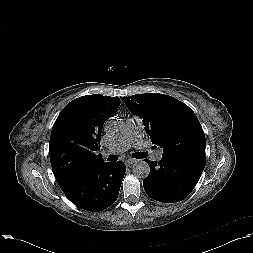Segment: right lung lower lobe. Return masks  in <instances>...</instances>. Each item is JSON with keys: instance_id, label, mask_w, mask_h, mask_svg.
<instances>
[{"instance_id": "obj_1", "label": "right lung lower lobe", "mask_w": 253, "mask_h": 253, "mask_svg": "<svg viewBox=\"0 0 253 253\" xmlns=\"http://www.w3.org/2000/svg\"><path fill=\"white\" fill-rule=\"evenodd\" d=\"M125 171L123 162H104L79 175L61 189L79 208L91 212L102 211L116 201Z\"/></svg>"}]
</instances>
